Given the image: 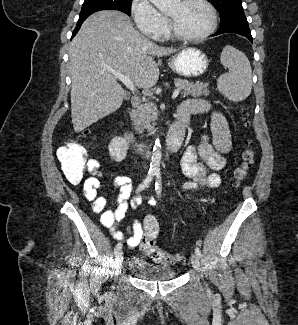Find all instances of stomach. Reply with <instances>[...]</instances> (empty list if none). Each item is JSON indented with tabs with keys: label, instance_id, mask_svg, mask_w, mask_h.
Returning a JSON list of instances; mask_svg holds the SVG:
<instances>
[{
	"label": "stomach",
	"instance_id": "stomach-1",
	"mask_svg": "<svg viewBox=\"0 0 298 325\" xmlns=\"http://www.w3.org/2000/svg\"><path fill=\"white\" fill-rule=\"evenodd\" d=\"M209 62L206 52L196 46H186L168 58V66L171 70L177 76H185V78L201 76L206 72Z\"/></svg>",
	"mask_w": 298,
	"mask_h": 325
}]
</instances>
